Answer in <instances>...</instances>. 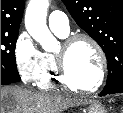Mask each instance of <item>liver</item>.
Returning <instances> with one entry per match:
<instances>
[{
  "label": "liver",
  "mask_w": 123,
  "mask_h": 113,
  "mask_svg": "<svg viewBox=\"0 0 123 113\" xmlns=\"http://www.w3.org/2000/svg\"><path fill=\"white\" fill-rule=\"evenodd\" d=\"M82 103L57 93H38L15 86L1 87V113H60Z\"/></svg>",
  "instance_id": "6515ba94"
}]
</instances>
